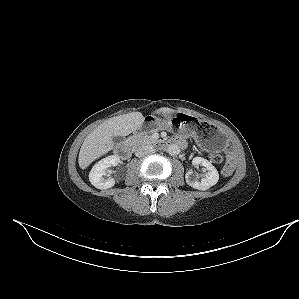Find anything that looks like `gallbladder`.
<instances>
[{"instance_id": "obj_1", "label": "gallbladder", "mask_w": 299, "mask_h": 299, "mask_svg": "<svg viewBox=\"0 0 299 299\" xmlns=\"http://www.w3.org/2000/svg\"><path fill=\"white\" fill-rule=\"evenodd\" d=\"M112 139L114 143H119L123 140V138L120 136H113Z\"/></svg>"}]
</instances>
